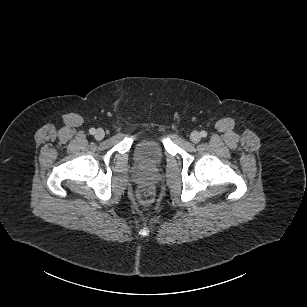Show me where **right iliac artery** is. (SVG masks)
I'll return each instance as SVG.
<instances>
[{
  "instance_id": "1",
  "label": "right iliac artery",
  "mask_w": 307,
  "mask_h": 307,
  "mask_svg": "<svg viewBox=\"0 0 307 307\" xmlns=\"http://www.w3.org/2000/svg\"><path fill=\"white\" fill-rule=\"evenodd\" d=\"M89 133L92 134V135L95 134V129H94V128H91V129L89 130Z\"/></svg>"
}]
</instances>
